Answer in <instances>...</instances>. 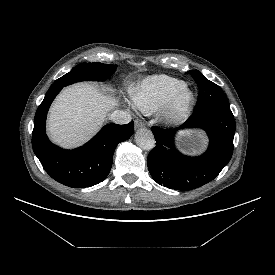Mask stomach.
Returning a JSON list of instances; mask_svg holds the SVG:
<instances>
[{"label": "stomach", "mask_w": 275, "mask_h": 275, "mask_svg": "<svg viewBox=\"0 0 275 275\" xmlns=\"http://www.w3.org/2000/svg\"><path fill=\"white\" fill-rule=\"evenodd\" d=\"M206 144V139L199 133H188L181 137V148L191 154L199 153L203 150Z\"/></svg>", "instance_id": "obj_1"}]
</instances>
